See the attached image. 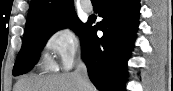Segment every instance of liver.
Wrapping results in <instances>:
<instances>
[{
    "label": "liver",
    "mask_w": 173,
    "mask_h": 91,
    "mask_svg": "<svg viewBox=\"0 0 173 91\" xmlns=\"http://www.w3.org/2000/svg\"><path fill=\"white\" fill-rule=\"evenodd\" d=\"M13 89V91H80V85L74 73H63L46 77L25 76L18 80ZM86 89L97 91L91 82Z\"/></svg>",
    "instance_id": "obj_1"
}]
</instances>
